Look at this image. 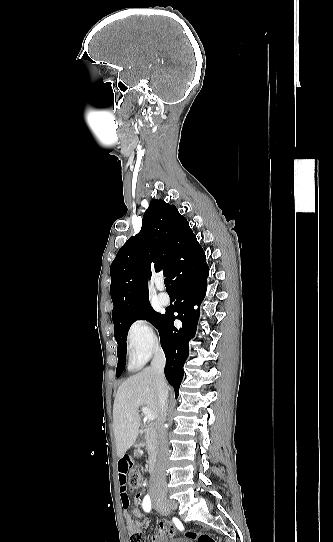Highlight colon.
I'll return each mask as SVG.
<instances>
[{"instance_id": "5ec220e1", "label": "colon", "mask_w": 333, "mask_h": 542, "mask_svg": "<svg viewBox=\"0 0 333 542\" xmlns=\"http://www.w3.org/2000/svg\"><path fill=\"white\" fill-rule=\"evenodd\" d=\"M132 474L131 477H127L128 484L132 488H141L143 487L144 483L146 482V479L144 476L139 472L138 469H136L133 465L131 467ZM165 525H161V529H165ZM186 538L189 540H194L197 542H217L215 537H213L209 533H201L199 534L197 531L191 530L188 531L185 534ZM130 541L131 542H148V536L145 534L144 531H133L131 535Z\"/></svg>"}]
</instances>
